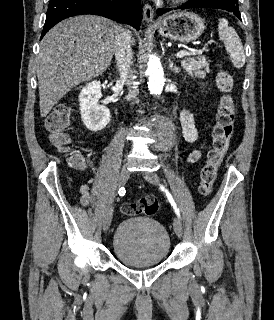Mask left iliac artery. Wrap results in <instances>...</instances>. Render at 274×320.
Masks as SVG:
<instances>
[{"label":"left iliac artery","instance_id":"obj_1","mask_svg":"<svg viewBox=\"0 0 274 320\" xmlns=\"http://www.w3.org/2000/svg\"><path fill=\"white\" fill-rule=\"evenodd\" d=\"M160 188L162 191H164L166 193V196H167L169 202L171 203V205L173 206L175 213L177 214L178 217H180L179 209L177 208V205H176L171 193L168 190H166L164 186H160Z\"/></svg>","mask_w":274,"mask_h":320}]
</instances>
